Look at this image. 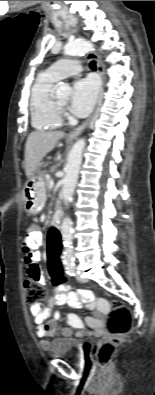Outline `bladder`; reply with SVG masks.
I'll list each match as a JSON object with an SVG mask.
<instances>
[{
    "instance_id": "bladder-1",
    "label": "bladder",
    "mask_w": 155,
    "mask_h": 395,
    "mask_svg": "<svg viewBox=\"0 0 155 395\" xmlns=\"http://www.w3.org/2000/svg\"><path fill=\"white\" fill-rule=\"evenodd\" d=\"M85 350V344L74 338H57L50 346V354L56 358L81 360L85 356Z\"/></svg>"
}]
</instances>
